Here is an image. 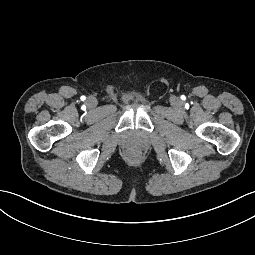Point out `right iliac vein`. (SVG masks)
<instances>
[{
    "label": "right iliac vein",
    "instance_id": "63e3f726",
    "mask_svg": "<svg viewBox=\"0 0 255 255\" xmlns=\"http://www.w3.org/2000/svg\"><path fill=\"white\" fill-rule=\"evenodd\" d=\"M86 104L89 108H94L97 105V99L95 97H89L86 100Z\"/></svg>",
    "mask_w": 255,
    "mask_h": 255
}]
</instances>
